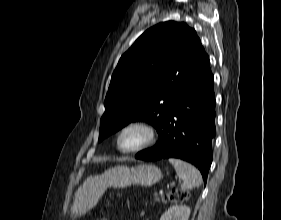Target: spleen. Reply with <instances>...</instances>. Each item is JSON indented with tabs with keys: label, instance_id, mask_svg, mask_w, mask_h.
Masks as SVG:
<instances>
[{
	"label": "spleen",
	"instance_id": "obj_1",
	"mask_svg": "<svg viewBox=\"0 0 281 220\" xmlns=\"http://www.w3.org/2000/svg\"><path fill=\"white\" fill-rule=\"evenodd\" d=\"M169 162L174 166L178 177L183 181L182 190H188L202 184L201 173L193 165L174 158H170Z\"/></svg>",
	"mask_w": 281,
	"mask_h": 220
}]
</instances>
